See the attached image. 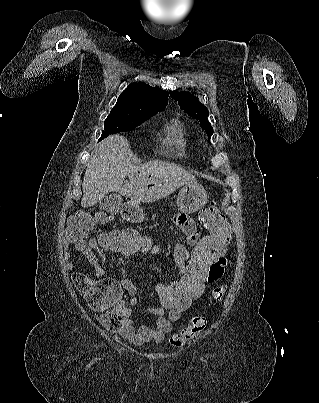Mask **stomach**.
Segmentation results:
<instances>
[{
  "instance_id": "1",
  "label": "stomach",
  "mask_w": 319,
  "mask_h": 403,
  "mask_svg": "<svg viewBox=\"0 0 319 403\" xmlns=\"http://www.w3.org/2000/svg\"><path fill=\"white\" fill-rule=\"evenodd\" d=\"M207 201L206 190L200 184L188 183L183 186L177 197V206L181 212L194 213L200 210ZM132 224H143L145 218L142 211L136 208L134 215L131 216Z\"/></svg>"
}]
</instances>
